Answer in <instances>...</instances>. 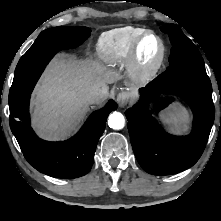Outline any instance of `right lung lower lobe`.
Listing matches in <instances>:
<instances>
[{
    "label": "right lung lower lobe",
    "mask_w": 221,
    "mask_h": 221,
    "mask_svg": "<svg viewBox=\"0 0 221 221\" xmlns=\"http://www.w3.org/2000/svg\"><path fill=\"white\" fill-rule=\"evenodd\" d=\"M30 94L9 105L11 131L26 160L41 173L52 177L70 179L87 174L107 117L117 108L115 101L110 100L104 108L93 112L73 138L48 142L38 138L30 127Z\"/></svg>",
    "instance_id": "1"
}]
</instances>
